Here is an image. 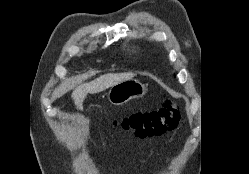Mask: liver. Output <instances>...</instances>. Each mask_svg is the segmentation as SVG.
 <instances>
[{
  "label": "liver",
  "mask_w": 249,
  "mask_h": 174,
  "mask_svg": "<svg viewBox=\"0 0 249 174\" xmlns=\"http://www.w3.org/2000/svg\"><path fill=\"white\" fill-rule=\"evenodd\" d=\"M133 77V73H109L102 75L89 83L82 84L75 88L72 92V98L75 105L80 108L88 93H99L120 82L130 80Z\"/></svg>",
  "instance_id": "liver-1"
}]
</instances>
